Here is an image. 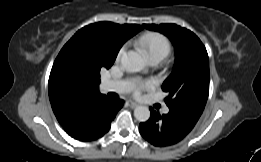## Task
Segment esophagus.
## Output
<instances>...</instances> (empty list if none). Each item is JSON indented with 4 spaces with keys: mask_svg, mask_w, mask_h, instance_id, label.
<instances>
[{
    "mask_svg": "<svg viewBox=\"0 0 261 162\" xmlns=\"http://www.w3.org/2000/svg\"><path fill=\"white\" fill-rule=\"evenodd\" d=\"M127 103L129 104V106L131 108H135V107L138 106V104L136 102L132 101V100H128Z\"/></svg>",
    "mask_w": 261,
    "mask_h": 162,
    "instance_id": "1",
    "label": "esophagus"
}]
</instances>
